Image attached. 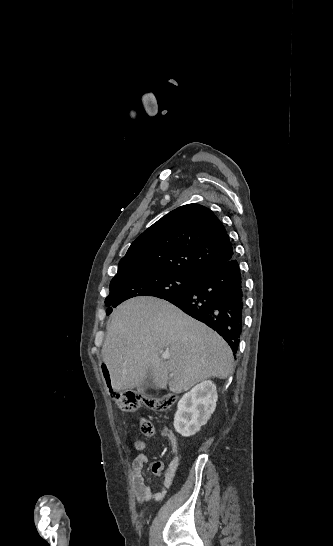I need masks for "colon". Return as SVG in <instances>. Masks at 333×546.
Returning <instances> with one entry per match:
<instances>
[{
    "instance_id": "colon-1",
    "label": "colon",
    "mask_w": 333,
    "mask_h": 546,
    "mask_svg": "<svg viewBox=\"0 0 333 546\" xmlns=\"http://www.w3.org/2000/svg\"><path fill=\"white\" fill-rule=\"evenodd\" d=\"M102 368V378L104 380V385L107 386L108 391L114 390V385L109 378V368L106 363L101 365ZM114 395L117 393L115 390L112 392ZM115 401L117 405L124 411H134L140 406L144 405L150 409L164 411L171 408L175 401L176 397L174 394H166L160 398L151 397L137 392H122L115 395ZM140 429L144 436L151 437L154 435L155 429L152 422L146 418L140 420Z\"/></svg>"
}]
</instances>
